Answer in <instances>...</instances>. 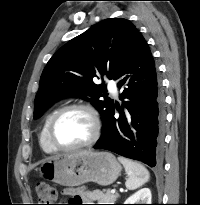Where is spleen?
Returning <instances> with one entry per match:
<instances>
[{
	"instance_id": "3e777b00",
	"label": "spleen",
	"mask_w": 200,
	"mask_h": 205,
	"mask_svg": "<svg viewBox=\"0 0 200 205\" xmlns=\"http://www.w3.org/2000/svg\"><path fill=\"white\" fill-rule=\"evenodd\" d=\"M118 160L123 164L126 174L128 176L125 186L129 190H135L145 184L150 174L148 170L139 162L119 156Z\"/></svg>"
}]
</instances>
